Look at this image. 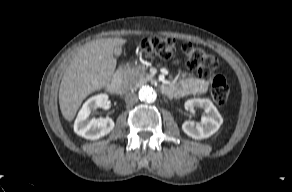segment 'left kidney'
<instances>
[{"mask_svg":"<svg viewBox=\"0 0 292 192\" xmlns=\"http://www.w3.org/2000/svg\"><path fill=\"white\" fill-rule=\"evenodd\" d=\"M186 109L201 108L206 113V116H202L201 125L191 121H185L182 124V130L189 137L201 140L208 138L218 131L223 123V119L209 99L193 98L185 102Z\"/></svg>","mask_w":292,"mask_h":192,"instance_id":"obj_1","label":"left kidney"}]
</instances>
